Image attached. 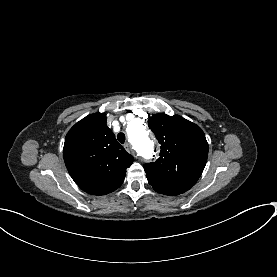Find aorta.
Wrapping results in <instances>:
<instances>
[{
    "mask_svg": "<svg viewBox=\"0 0 277 277\" xmlns=\"http://www.w3.org/2000/svg\"><path fill=\"white\" fill-rule=\"evenodd\" d=\"M127 135L134 149L144 158H151L153 154V143L148 136L144 121L134 119L128 123Z\"/></svg>",
    "mask_w": 277,
    "mask_h": 277,
    "instance_id": "obj_1",
    "label": "aorta"
}]
</instances>
